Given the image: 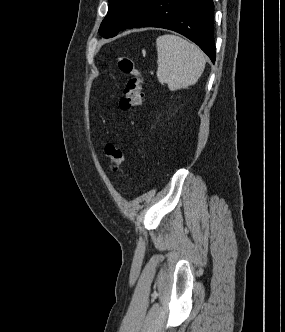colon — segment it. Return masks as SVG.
<instances>
[{"label":"colon","instance_id":"obj_1","mask_svg":"<svg viewBox=\"0 0 285 332\" xmlns=\"http://www.w3.org/2000/svg\"><path fill=\"white\" fill-rule=\"evenodd\" d=\"M118 68L129 76L119 102L120 108L123 111H132L142 103L144 77L134 59L129 56L123 55L118 58ZM104 152L110 170L119 171L124 161L122 151L115 145L109 144L105 147Z\"/></svg>","mask_w":285,"mask_h":332}]
</instances>
